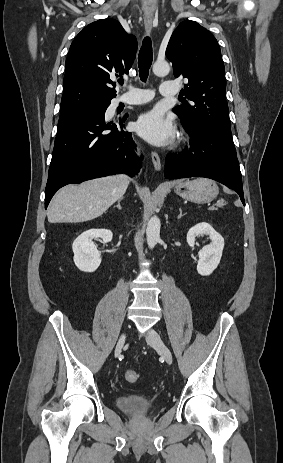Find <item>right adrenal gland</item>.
I'll return each instance as SVG.
<instances>
[{
  "label": "right adrenal gland",
  "mask_w": 283,
  "mask_h": 463,
  "mask_svg": "<svg viewBox=\"0 0 283 463\" xmlns=\"http://www.w3.org/2000/svg\"><path fill=\"white\" fill-rule=\"evenodd\" d=\"M122 200H123V197L118 200L117 205H115L114 208L117 207L118 209H121L122 207L120 203Z\"/></svg>",
  "instance_id": "1"
}]
</instances>
